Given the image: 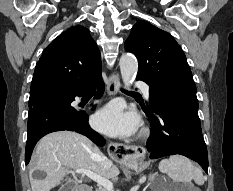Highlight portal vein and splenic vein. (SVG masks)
<instances>
[{
	"instance_id": "18ae733b",
	"label": "portal vein and splenic vein",
	"mask_w": 233,
	"mask_h": 191,
	"mask_svg": "<svg viewBox=\"0 0 233 191\" xmlns=\"http://www.w3.org/2000/svg\"><path fill=\"white\" fill-rule=\"evenodd\" d=\"M75 173H79V174H82L83 176L84 175L87 176L91 180L95 181L99 186H102L103 188H105L107 191H113V184L111 181L97 175L96 173L90 170L77 169L75 170Z\"/></svg>"
}]
</instances>
